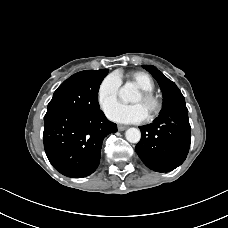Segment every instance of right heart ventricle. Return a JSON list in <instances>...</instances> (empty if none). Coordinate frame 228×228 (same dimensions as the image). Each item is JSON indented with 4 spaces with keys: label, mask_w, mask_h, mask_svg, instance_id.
<instances>
[{
    "label": "right heart ventricle",
    "mask_w": 228,
    "mask_h": 228,
    "mask_svg": "<svg viewBox=\"0 0 228 228\" xmlns=\"http://www.w3.org/2000/svg\"><path fill=\"white\" fill-rule=\"evenodd\" d=\"M130 80L141 90L154 91L155 84L152 78L145 72L137 71L129 75Z\"/></svg>",
    "instance_id": "right-heart-ventricle-1"
}]
</instances>
